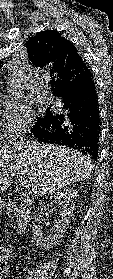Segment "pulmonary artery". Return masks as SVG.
<instances>
[{"label":"pulmonary artery","instance_id":"pulmonary-artery-1","mask_svg":"<svg viewBox=\"0 0 113 279\" xmlns=\"http://www.w3.org/2000/svg\"><path fill=\"white\" fill-rule=\"evenodd\" d=\"M43 99L45 100L46 103H52L54 98L51 94L44 92Z\"/></svg>","mask_w":113,"mask_h":279}]
</instances>
